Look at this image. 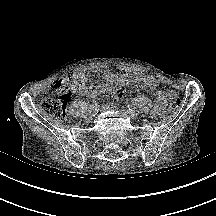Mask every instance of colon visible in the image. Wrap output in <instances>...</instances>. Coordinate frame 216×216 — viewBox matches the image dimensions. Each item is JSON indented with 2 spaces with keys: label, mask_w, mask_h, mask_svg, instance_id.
I'll return each instance as SVG.
<instances>
[{
  "label": "colon",
  "mask_w": 216,
  "mask_h": 216,
  "mask_svg": "<svg viewBox=\"0 0 216 216\" xmlns=\"http://www.w3.org/2000/svg\"><path fill=\"white\" fill-rule=\"evenodd\" d=\"M84 79L83 75L74 72L57 79L51 86L53 96L45 99L41 104L43 111L57 120L65 119L67 101L72 90ZM167 100L171 110L176 111L180 108L181 100L175 93L168 91Z\"/></svg>",
  "instance_id": "5ec220e1"
}]
</instances>
